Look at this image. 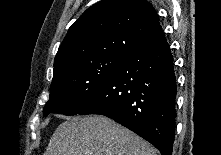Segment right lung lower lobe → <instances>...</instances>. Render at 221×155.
Listing matches in <instances>:
<instances>
[{
	"label": "right lung lower lobe",
	"mask_w": 221,
	"mask_h": 155,
	"mask_svg": "<svg viewBox=\"0 0 221 155\" xmlns=\"http://www.w3.org/2000/svg\"><path fill=\"white\" fill-rule=\"evenodd\" d=\"M175 98L173 57L161 32L129 50L78 114L107 116L153 144L161 155H172Z\"/></svg>",
	"instance_id": "1"
}]
</instances>
